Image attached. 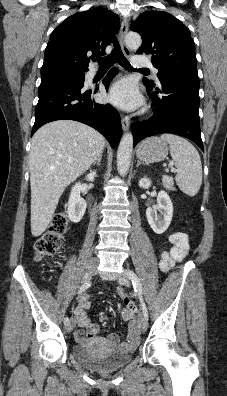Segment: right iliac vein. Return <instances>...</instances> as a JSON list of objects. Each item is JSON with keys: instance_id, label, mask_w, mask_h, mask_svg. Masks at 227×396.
Listing matches in <instances>:
<instances>
[{"instance_id": "1", "label": "right iliac vein", "mask_w": 227, "mask_h": 396, "mask_svg": "<svg viewBox=\"0 0 227 396\" xmlns=\"http://www.w3.org/2000/svg\"><path fill=\"white\" fill-rule=\"evenodd\" d=\"M97 272V264L95 261H91L87 270L84 272L82 276V283H87L91 280V278L96 274ZM74 328V320L72 319L67 325H66V331L71 332Z\"/></svg>"}]
</instances>
